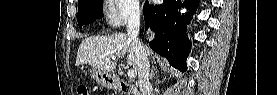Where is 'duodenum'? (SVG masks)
I'll use <instances>...</instances> for the list:
<instances>
[{
	"label": "duodenum",
	"instance_id": "1",
	"mask_svg": "<svg viewBox=\"0 0 277 95\" xmlns=\"http://www.w3.org/2000/svg\"><path fill=\"white\" fill-rule=\"evenodd\" d=\"M118 86H119L120 90L126 94H136V92H137V88L135 86L131 85L126 80H120L118 82Z\"/></svg>",
	"mask_w": 277,
	"mask_h": 95
}]
</instances>
